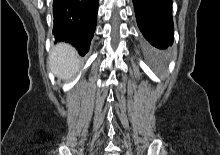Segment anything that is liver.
<instances>
[{
	"label": "liver",
	"instance_id": "obj_1",
	"mask_svg": "<svg viewBox=\"0 0 220 155\" xmlns=\"http://www.w3.org/2000/svg\"><path fill=\"white\" fill-rule=\"evenodd\" d=\"M49 67L59 79L69 80L80 68L76 50L65 43L57 44L50 51Z\"/></svg>",
	"mask_w": 220,
	"mask_h": 155
}]
</instances>
